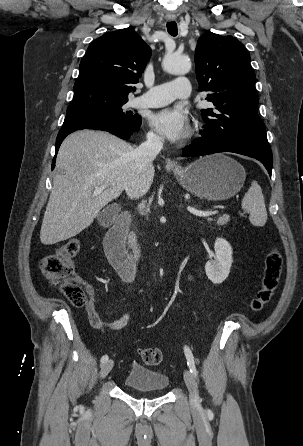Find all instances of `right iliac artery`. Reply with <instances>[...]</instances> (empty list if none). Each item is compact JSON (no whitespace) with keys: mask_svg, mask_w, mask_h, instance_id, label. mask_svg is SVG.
Listing matches in <instances>:
<instances>
[{"mask_svg":"<svg viewBox=\"0 0 303 446\" xmlns=\"http://www.w3.org/2000/svg\"><path fill=\"white\" fill-rule=\"evenodd\" d=\"M107 361H108V356L107 355H104V356L101 357V363H105Z\"/></svg>","mask_w":303,"mask_h":446,"instance_id":"right-iliac-artery-1","label":"right iliac artery"}]
</instances>
